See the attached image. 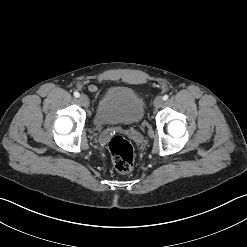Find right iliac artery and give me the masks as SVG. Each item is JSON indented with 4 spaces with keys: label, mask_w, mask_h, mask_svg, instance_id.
<instances>
[{
    "label": "right iliac artery",
    "mask_w": 247,
    "mask_h": 247,
    "mask_svg": "<svg viewBox=\"0 0 247 247\" xmlns=\"http://www.w3.org/2000/svg\"><path fill=\"white\" fill-rule=\"evenodd\" d=\"M74 96H75L76 98H78V97L80 96V94L76 91V92H74Z\"/></svg>",
    "instance_id": "82829eb1"
}]
</instances>
